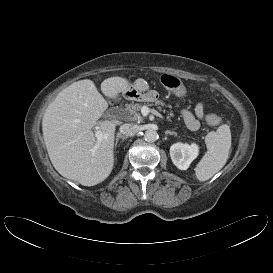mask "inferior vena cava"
Returning a JSON list of instances; mask_svg holds the SVG:
<instances>
[{
    "mask_svg": "<svg viewBox=\"0 0 273 273\" xmlns=\"http://www.w3.org/2000/svg\"><path fill=\"white\" fill-rule=\"evenodd\" d=\"M120 133L127 136L131 137L134 136L138 132V127L136 125H131V124H123L120 126Z\"/></svg>",
    "mask_w": 273,
    "mask_h": 273,
    "instance_id": "1",
    "label": "inferior vena cava"
}]
</instances>
